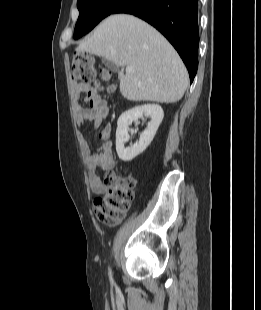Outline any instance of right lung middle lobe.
<instances>
[{"label": "right lung middle lobe", "mask_w": 261, "mask_h": 310, "mask_svg": "<svg viewBox=\"0 0 261 310\" xmlns=\"http://www.w3.org/2000/svg\"><path fill=\"white\" fill-rule=\"evenodd\" d=\"M125 0H78L79 18L75 26L74 39L91 31L102 19Z\"/></svg>", "instance_id": "1"}]
</instances>
